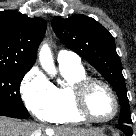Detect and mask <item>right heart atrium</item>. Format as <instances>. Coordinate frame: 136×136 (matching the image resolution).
I'll return each instance as SVG.
<instances>
[{
  "instance_id": "right-heart-atrium-1",
  "label": "right heart atrium",
  "mask_w": 136,
  "mask_h": 136,
  "mask_svg": "<svg viewBox=\"0 0 136 136\" xmlns=\"http://www.w3.org/2000/svg\"><path fill=\"white\" fill-rule=\"evenodd\" d=\"M22 100L36 117L45 120L55 106L54 86L37 68H32L20 85Z\"/></svg>"
}]
</instances>
